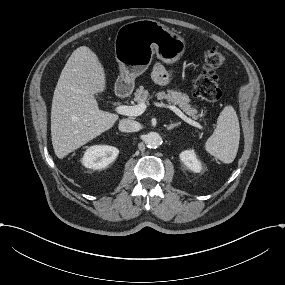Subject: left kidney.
<instances>
[{
    "mask_svg": "<svg viewBox=\"0 0 285 285\" xmlns=\"http://www.w3.org/2000/svg\"><path fill=\"white\" fill-rule=\"evenodd\" d=\"M183 164L195 173H200L202 170V164L197 159L194 150H185L179 155Z\"/></svg>",
    "mask_w": 285,
    "mask_h": 285,
    "instance_id": "obj_1",
    "label": "left kidney"
}]
</instances>
